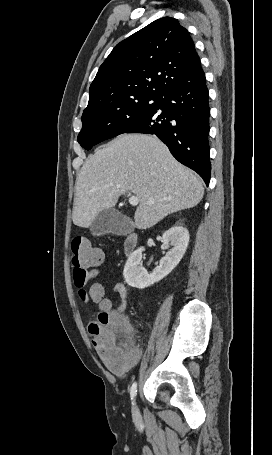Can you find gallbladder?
Returning a JSON list of instances; mask_svg holds the SVG:
<instances>
[{
	"label": "gallbladder",
	"mask_w": 272,
	"mask_h": 455,
	"mask_svg": "<svg viewBox=\"0 0 272 455\" xmlns=\"http://www.w3.org/2000/svg\"><path fill=\"white\" fill-rule=\"evenodd\" d=\"M134 229L132 222L119 211L109 208L102 210L90 226L93 235L101 236L107 233L127 235Z\"/></svg>",
	"instance_id": "1"
}]
</instances>
